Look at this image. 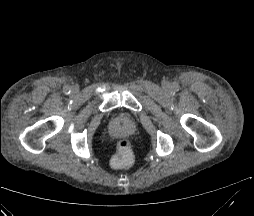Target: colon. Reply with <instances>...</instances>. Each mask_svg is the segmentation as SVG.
<instances>
[{
    "label": "colon",
    "instance_id": "1",
    "mask_svg": "<svg viewBox=\"0 0 254 216\" xmlns=\"http://www.w3.org/2000/svg\"><path fill=\"white\" fill-rule=\"evenodd\" d=\"M133 160L132 145L130 140L123 138L116 143V155L111 160L115 169H123L131 165Z\"/></svg>",
    "mask_w": 254,
    "mask_h": 216
}]
</instances>
